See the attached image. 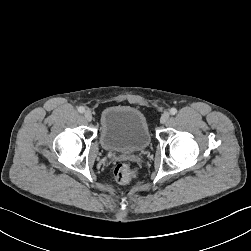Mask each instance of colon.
I'll return each instance as SVG.
<instances>
[{"instance_id": "5ec220e1", "label": "colon", "mask_w": 251, "mask_h": 251, "mask_svg": "<svg viewBox=\"0 0 251 251\" xmlns=\"http://www.w3.org/2000/svg\"><path fill=\"white\" fill-rule=\"evenodd\" d=\"M114 176L119 183L126 184L137 176V170L129 164L120 163L115 167Z\"/></svg>"}]
</instances>
